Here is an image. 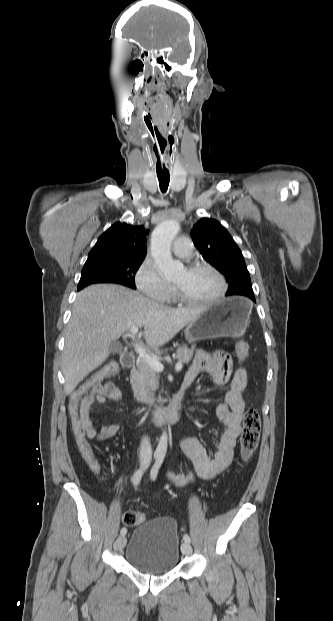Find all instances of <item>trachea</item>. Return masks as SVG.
Listing matches in <instances>:
<instances>
[{
	"instance_id": "3493384b",
	"label": "trachea",
	"mask_w": 333,
	"mask_h": 621,
	"mask_svg": "<svg viewBox=\"0 0 333 621\" xmlns=\"http://www.w3.org/2000/svg\"><path fill=\"white\" fill-rule=\"evenodd\" d=\"M157 177L159 180V186L162 193H165L168 189L170 182V174L169 173H158Z\"/></svg>"
}]
</instances>
